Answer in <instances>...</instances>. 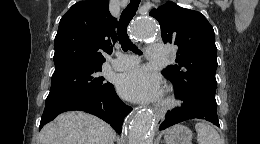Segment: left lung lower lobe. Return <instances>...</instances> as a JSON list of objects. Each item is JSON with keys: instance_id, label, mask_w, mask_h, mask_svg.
Returning <instances> with one entry per match:
<instances>
[{"instance_id": "1", "label": "left lung lower lobe", "mask_w": 260, "mask_h": 144, "mask_svg": "<svg viewBox=\"0 0 260 144\" xmlns=\"http://www.w3.org/2000/svg\"><path fill=\"white\" fill-rule=\"evenodd\" d=\"M190 119H203L220 126L216 101L194 97L190 103H184L182 107L168 111L166 119L160 125V129L163 130Z\"/></svg>"}]
</instances>
